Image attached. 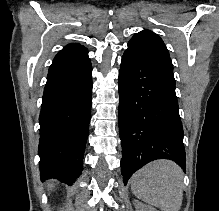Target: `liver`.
<instances>
[{
  "instance_id": "1",
  "label": "liver",
  "mask_w": 219,
  "mask_h": 211,
  "mask_svg": "<svg viewBox=\"0 0 219 211\" xmlns=\"http://www.w3.org/2000/svg\"><path fill=\"white\" fill-rule=\"evenodd\" d=\"M49 187H54V183H49Z\"/></svg>"
}]
</instances>
